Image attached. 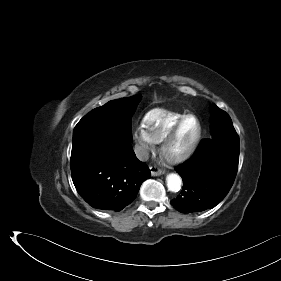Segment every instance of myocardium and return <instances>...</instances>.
<instances>
[{"label":"myocardium","mask_w":281,"mask_h":281,"mask_svg":"<svg viewBox=\"0 0 281 281\" xmlns=\"http://www.w3.org/2000/svg\"><path fill=\"white\" fill-rule=\"evenodd\" d=\"M190 117L194 118L197 121V124H198V130H197V133H196L195 137L184 148H182L179 151L174 152V153L170 152L169 148H170L171 144L176 139V137H177L182 125L184 124V122ZM202 131H203L202 123H201L199 117L196 114L188 113V114L184 115L172 127V129L167 133V135L161 141L160 151H161L162 156L168 162L173 163V164H178V163H181V162L187 160L195 152L196 148L198 147V145L201 141V138H202Z\"/></svg>","instance_id":"f54148a6"}]
</instances>
